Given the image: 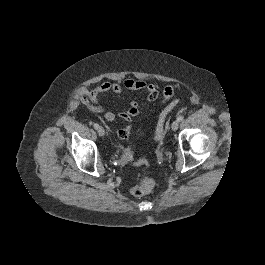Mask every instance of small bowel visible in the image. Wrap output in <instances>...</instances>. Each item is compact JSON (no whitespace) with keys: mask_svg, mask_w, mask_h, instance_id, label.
<instances>
[{"mask_svg":"<svg viewBox=\"0 0 265 265\" xmlns=\"http://www.w3.org/2000/svg\"><path fill=\"white\" fill-rule=\"evenodd\" d=\"M124 90L145 91L147 99L154 101L158 98L159 91L155 84L147 83L143 80L125 78L121 83L119 82H103L93 89L81 87L78 92V98L92 111L103 112L104 118L108 122H114L116 117L111 111L105 110L102 107L100 95L102 93H115L121 94ZM164 101H166L164 99ZM139 113L138 103L133 101L130 103L125 112H121L119 117L125 121L137 116ZM128 129L129 126H127Z\"/></svg>","mask_w":265,"mask_h":265,"instance_id":"1","label":"small bowel"}]
</instances>
